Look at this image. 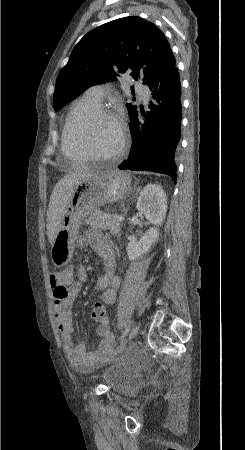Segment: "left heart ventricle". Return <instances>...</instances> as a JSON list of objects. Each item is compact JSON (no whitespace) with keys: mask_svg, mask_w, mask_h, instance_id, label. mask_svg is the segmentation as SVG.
<instances>
[{"mask_svg":"<svg viewBox=\"0 0 245 450\" xmlns=\"http://www.w3.org/2000/svg\"><path fill=\"white\" fill-rule=\"evenodd\" d=\"M79 133H84L83 122L77 126ZM121 142L120 126L112 120H101L93 128L90 143L95 152L101 155L115 151Z\"/></svg>","mask_w":245,"mask_h":450,"instance_id":"1","label":"left heart ventricle"}]
</instances>
